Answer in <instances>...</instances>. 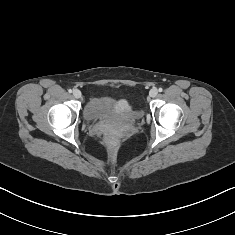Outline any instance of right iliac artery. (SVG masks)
<instances>
[{
  "label": "right iliac artery",
  "mask_w": 235,
  "mask_h": 235,
  "mask_svg": "<svg viewBox=\"0 0 235 235\" xmlns=\"http://www.w3.org/2000/svg\"><path fill=\"white\" fill-rule=\"evenodd\" d=\"M68 92H69V93H72V89H69Z\"/></svg>",
  "instance_id": "right-iliac-artery-1"
}]
</instances>
